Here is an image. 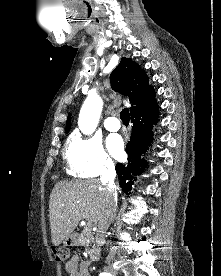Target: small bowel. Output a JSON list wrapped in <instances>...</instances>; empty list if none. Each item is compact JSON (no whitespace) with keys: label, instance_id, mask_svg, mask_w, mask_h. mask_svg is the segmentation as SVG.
Returning <instances> with one entry per match:
<instances>
[{"label":"small bowel","instance_id":"small-bowel-1","mask_svg":"<svg viewBox=\"0 0 221 276\" xmlns=\"http://www.w3.org/2000/svg\"><path fill=\"white\" fill-rule=\"evenodd\" d=\"M89 261H80L79 257L72 256L65 264V270L69 276H89Z\"/></svg>","mask_w":221,"mask_h":276}]
</instances>
